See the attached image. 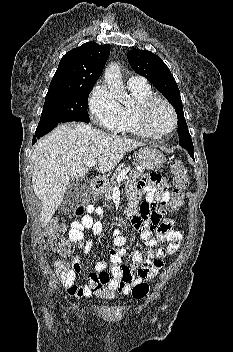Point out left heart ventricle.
I'll list each match as a JSON object with an SVG mask.
<instances>
[{
  "label": "left heart ventricle",
  "instance_id": "obj_1",
  "mask_svg": "<svg viewBox=\"0 0 233 352\" xmlns=\"http://www.w3.org/2000/svg\"><path fill=\"white\" fill-rule=\"evenodd\" d=\"M148 124L150 129L156 133L170 129L172 126L170 111L162 103L154 104L149 111Z\"/></svg>",
  "mask_w": 233,
  "mask_h": 352
}]
</instances>
